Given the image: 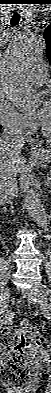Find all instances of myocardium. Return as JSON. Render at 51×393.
<instances>
[{
  "mask_svg": "<svg viewBox=\"0 0 51 393\" xmlns=\"http://www.w3.org/2000/svg\"><path fill=\"white\" fill-rule=\"evenodd\" d=\"M41 131H42L45 135H51V130H46L44 127H41Z\"/></svg>",
  "mask_w": 51,
  "mask_h": 393,
  "instance_id": "1",
  "label": "myocardium"
}]
</instances>
